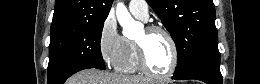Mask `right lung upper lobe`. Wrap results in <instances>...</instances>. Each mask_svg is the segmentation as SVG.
<instances>
[{"label": "right lung upper lobe", "instance_id": "1", "mask_svg": "<svg viewBox=\"0 0 260 84\" xmlns=\"http://www.w3.org/2000/svg\"><path fill=\"white\" fill-rule=\"evenodd\" d=\"M113 0H56L51 33L77 24L105 20Z\"/></svg>", "mask_w": 260, "mask_h": 84}]
</instances>
